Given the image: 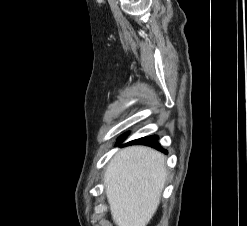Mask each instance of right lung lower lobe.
<instances>
[{
    "instance_id": "1",
    "label": "right lung lower lobe",
    "mask_w": 247,
    "mask_h": 226,
    "mask_svg": "<svg viewBox=\"0 0 247 226\" xmlns=\"http://www.w3.org/2000/svg\"><path fill=\"white\" fill-rule=\"evenodd\" d=\"M126 136L123 135L120 137V139H124ZM130 144H143V145H148V146H151V147H154L156 149H159L163 152L166 153L165 150L161 149L160 148V145L158 143V136L154 135V136H148V137H143V138H140V139H137V140H134V141H131Z\"/></svg>"
}]
</instances>
